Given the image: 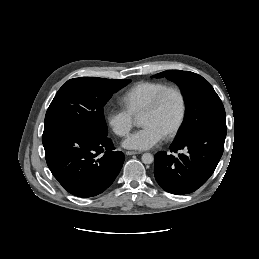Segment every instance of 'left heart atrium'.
Listing matches in <instances>:
<instances>
[{
    "label": "left heart atrium",
    "mask_w": 259,
    "mask_h": 259,
    "mask_svg": "<svg viewBox=\"0 0 259 259\" xmlns=\"http://www.w3.org/2000/svg\"><path fill=\"white\" fill-rule=\"evenodd\" d=\"M164 135L154 126L146 125L131 134L123 146L134 150H148L161 142Z\"/></svg>",
    "instance_id": "39dd6f15"
}]
</instances>
